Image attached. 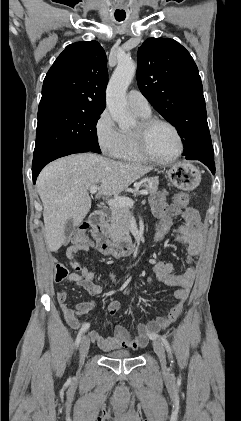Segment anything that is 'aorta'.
<instances>
[{
    "label": "aorta",
    "instance_id": "aorta-1",
    "mask_svg": "<svg viewBox=\"0 0 241 421\" xmlns=\"http://www.w3.org/2000/svg\"><path fill=\"white\" fill-rule=\"evenodd\" d=\"M136 72V64L130 59L118 62L106 90V104L120 128H128L135 121L127 112L126 90Z\"/></svg>",
    "mask_w": 241,
    "mask_h": 421
}]
</instances>
